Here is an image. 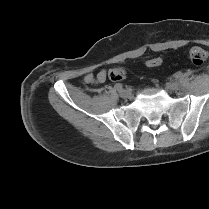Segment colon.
<instances>
[{
    "label": "colon",
    "instance_id": "obj_1",
    "mask_svg": "<svg viewBox=\"0 0 209 209\" xmlns=\"http://www.w3.org/2000/svg\"><path fill=\"white\" fill-rule=\"evenodd\" d=\"M187 57L194 65L203 66L208 60V52L201 47L195 46L189 49ZM145 64L150 68L158 67L162 64V59L159 57L151 58ZM108 77L112 81H121L126 77V72L122 68H113L108 72Z\"/></svg>",
    "mask_w": 209,
    "mask_h": 209
}]
</instances>
